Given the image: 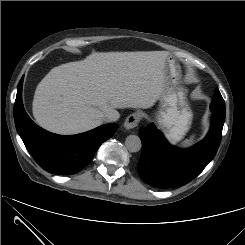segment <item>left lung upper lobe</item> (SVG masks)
Here are the masks:
<instances>
[{
	"instance_id": "5c2ea615",
	"label": "left lung upper lobe",
	"mask_w": 245,
	"mask_h": 245,
	"mask_svg": "<svg viewBox=\"0 0 245 245\" xmlns=\"http://www.w3.org/2000/svg\"><path fill=\"white\" fill-rule=\"evenodd\" d=\"M211 106L214 107V110L218 113L225 115V102L217 88L215 89V96Z\"/></svg>"
}]
</instances>
